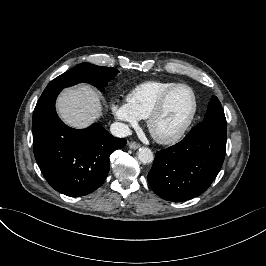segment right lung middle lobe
Returning a JSON list of instances; mask_svg holds the SVG:
<instances>
[{
    "instance_id": "dd1d6c3e",
    "label": "right lung middle lobe",
    "mask_w": 266,
    "mask_h": 266,
    "mask_svg": "<svg viewBox=\"0 0 266 266\" xmlns=\"http://www.w3.org/2000/svg\"><path fill=\"white\" fill-rule=\"evenodd\" d=\"M118 73L119 71L115 68L81 63L52 80L43 93L56 89H63L80 82L90 83L100 88V90H103L107 82L113 79Z\"/></svg>"
}]
</instances>
